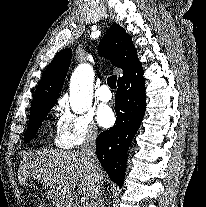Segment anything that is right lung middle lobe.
I'll use <instances>...</instances> for the list:
<instances>
[{"label": "right lung middle lobe", "mask_w": 206, "mask_h": 207, "mask_svg": "<svg viewBox=\"0 0 206 207\" xmlns=\"http://www.w3.org/2000/svg\"><path fill=\"white\" fill-rule=\"evenodd\" d=\"M53 106L54 105L52 104H46L30 111V121L25 133L26 142H29L36 135L43 118L48 114Z\"/></svg>", "instance_id": "1"}]
</instances>
